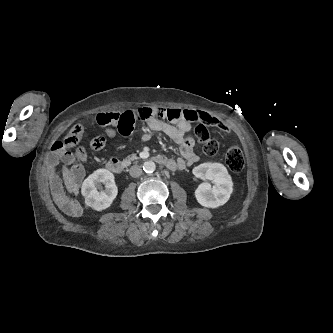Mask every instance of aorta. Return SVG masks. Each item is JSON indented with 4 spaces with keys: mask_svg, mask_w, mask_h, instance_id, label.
Wrapping results in <instances>:
<instances>
[{
    "mask_svg": "<svg viewBox=\"0 0 333 333\" xmlns=\"http://www.w3.org/2000/svg\"><path fill=\"white\" fill-rule=\"evenodd\" d=\"M143 170L146 173H153L156 170V165L153 161H146L143 164Z\"/></svg>",
    "mask_w": 333,
    "mask_h": 333,
    "instance_id": "1",
    "label": "aorta"
}]
</instances>
